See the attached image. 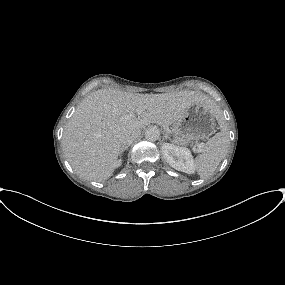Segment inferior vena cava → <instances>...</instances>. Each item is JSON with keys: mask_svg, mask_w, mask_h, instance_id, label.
<instances>
[{"mask_svg": "<svg viewBox=\"0 0 285 285\" xmlns=\"http://www.w3.org/2000/svg\"><path fill=\"white\" fill-rule=\"evenodd\" d=\"M140 134L139 133H131V132H126L120 137V142L123 146H128L130 145Z\"/></svg>", "mask_w": 285, "mask_h": 285, "instance_id": "inferior-vena-cava-1", "label": "inferior vena cava"}]
</instances>
